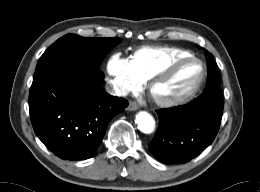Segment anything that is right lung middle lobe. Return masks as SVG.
<instances>
[{
    "instance_id": "dd1d6c3e",
    "label": "right lung middle lobe",
    "mask_w": 260,
    "mask_h": 192,
    "mask_svg": "<svg viewBox=\"0 0 260 192\" xmlns=\"http://www.w3.org/2000/svg\"><path fill=\"white\" fill-rule=\"evenodd\" d=\"M120 38H83L67 34L53 43L40 57L34 78L51 67L60 64L87 65L99 68L105 55L117 44Z\"/></svg>"
}]
</instances>
